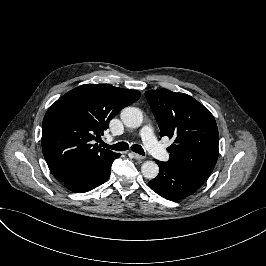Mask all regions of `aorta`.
<instances>
[{
	"label": "aorta",
	"instance_id": "aorta-1",
	"mask_svg": "<svg viewBox=\"0 0 266 266\" xmlns=\"http://www.w3.org/2000/svg\"><path fill=\"white\" fill-rule=\"evenodd\" d=\"M120 118L125 126L138 128L143 122V114L139 108L126 107L121 111ZM142 175L149 180L157 177L159 166L154 161H145L141 166Z\"/></svg>",
	"mask_w": 266,
	"mask_h": 266
}]
</instances>
